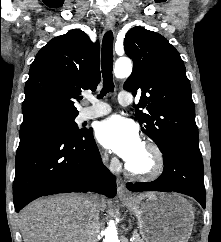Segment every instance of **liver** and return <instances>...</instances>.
I'll use <instances>...</instances> for the list:
<instances>
[{
	"instance_id": "liver-1",
	"label": "liver",
	"mask_w": 221,
	"mask_h": 242,
	"mask_svg": "<svg viewBox=\"0 0 221 242\" xmlns=\"http://www.w3.org/2000/svg\"><path fill=\"white\" fill-rule=\"evenodd\" d=\"M83 195H61L37 200L19 216L24 242H84ZM106 201L99 198V210Z\"/></svg>"
}]
</instances>
